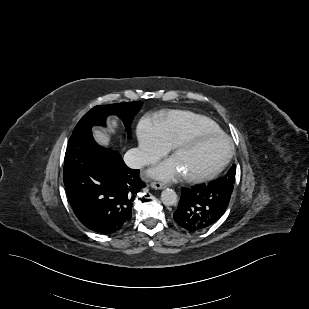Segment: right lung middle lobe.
<instances>
[{
	"label": "right lung middle lobe",
	"instance_id": "dd1d6c3e",
	"mask_svg": "<svg viewBox=\"0 0 309 309\" xmlns=\"http://www.w3.org/2000/svg\"><path fill=\"white\" fill-rule=\"evenodd\" d=\"M143 105L142 101L118 103L111 105L95 106L88 111L78 122L73 130V134L91 128L93 125H105L109 115L118 116L124 123L127 133H131V124L134 116L139 112Z\"/></svg>",
	"mask_w": 309,
	"mask_h": 309
}]
</instances>
